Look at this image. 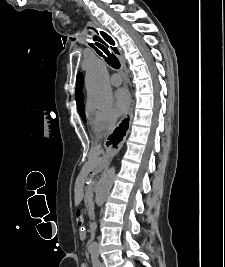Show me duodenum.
Masks as SVG:
<instances>
[{
    "label": "duodenum",
    "instance_id": "1",
    "mask_svg": "<svg viewBox=\"0 0 225 267\" xmlns=\"http://www.w3.org/2000/svg\"><path fill=\"white\" fill-rule=\"evenodd\" d=\"M96 223H94V222H92L91 224H90V228L92 229V230H95L96 229Z\"/></svg>",
    "mask_w": 225,
    "mask_h": 267
}]
</instances>
